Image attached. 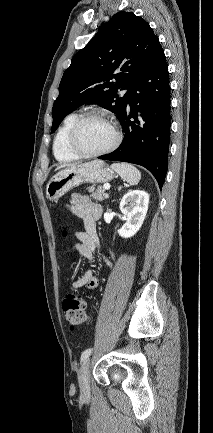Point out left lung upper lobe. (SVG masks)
I'll use <instances>...</instances> for the list:
<instances>
[{
  "label": "left lung upper lobe",
  "mask_w": 213,
  "mask_h": 433,
  "mask_svg": "<svg viewBox=\"0 0 213 433\" xmlns=\"http://www.w3.org/2000/svg\"><path fill=\"white\" fill-rule=\"evenodd\" d=\"M159 47L157 36L144 19L132 12L116 13L75 54L64 72L52 109L51 133L67 114L84 104H100L120 120L134 82ZM113 78L115 81L109 82ZM119 89L129 92L120 97Z\"/></svg>",
  "instance_id": "1"
}]
</instances>
